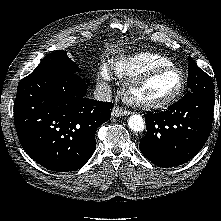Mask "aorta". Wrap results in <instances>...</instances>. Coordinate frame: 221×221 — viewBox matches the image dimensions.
Wrapping results in <instances>:
<instances>
[{
    "label": "aorta",
    "instance_id": "obj_1",
    "mask_svg": "<svg viewBox=\"0 0 221 221\" xmlns=\"http://www.w3.org/2000/svg\"><path fill=\"white\" fill-rule=\"evenodd\" d=\"M128 126L132 131L140 132L143 131L145 128V122L142 116L134 114L128 119Z\"/></svg>",
    "mask_w": 221,
    "mask_h": 221
}]
</instances>
